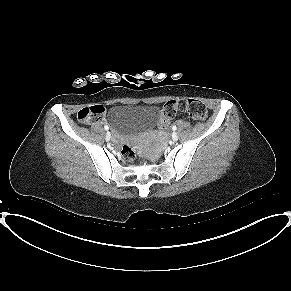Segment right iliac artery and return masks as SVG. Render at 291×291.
<instances>
[{
    "label": "right iliac artery",
    "instance_id": "1",
    "mask_svg": "<svg viewBox=\"0 0 291 291\" xmlns=\"http://www.w3.org/2000/svg\"><path fill=\"white\" fill-rule=\"evenodd\" d=\"M104 129H105V130H108V129H109V127H108L107 125H105V126H104Z\"/></svg>",
    "mask_w": 291,
    "mask_h": 291
}]
</instances>
